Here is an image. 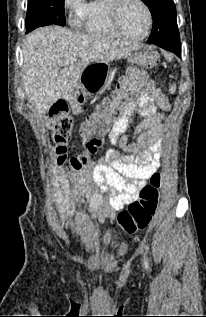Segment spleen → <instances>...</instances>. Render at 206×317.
<instances>
[{
	"label": "spleen",
	"mask_w": 206,
	"mask_h": 317,
	"mask_svg": "<svg viewBox=\"0 0 206 317\" xmlns=\"http://www.w3.org/2000/svg\"><path fill=\"white\" fill-rule=\"evenodd\" d=\"M169 91L171 94H174L176 91V85L175 84L171 85V87L169 88Z\"/></svg>",
	"instance_id": "spleen-1"
}]
</instances>
